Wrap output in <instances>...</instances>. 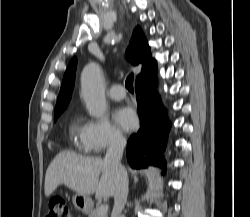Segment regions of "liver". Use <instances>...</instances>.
<instances>
[{
	"instance_id": "6515ba94",
	"label": "liver",
	"mask_w": 250,
	"mask_h": 217,
	"mask_svg": "<svg viewBox=\"0 0 250 217\" xmlns=\"http://www.w3.org/2000/svg\"><path fill=\"white\" fill-rule=\"evenodd\" d=\"M62 184L80 195L95 193L97 199L112 197L115 191L114 175L104 160L71 152L59 153L47 168L45 196L49 197Z\"/></svg>"
}]
</instances>
